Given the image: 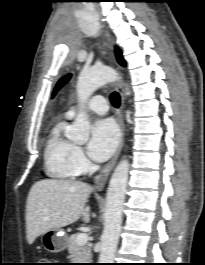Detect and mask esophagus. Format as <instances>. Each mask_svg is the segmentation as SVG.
Listing matches in <instances>:
<instances>
[{
  "label": "esophagus",
  "mask_w": 205,
  "mask_h": 265,
  "mask_svg": "<svg viewBox=\"0 0 205 265\" xmlns=\"http://www.w3.org/2000/svg\"><path fill=\"white\" fill-rule=\"evenodd\" d=\"M106 45L108 49L112 51L113 39L108 31H106ZM116 87L120 94V108L118 110V115H117V120H118L120 131H121L120 143L112 159L102 168L99 174L96 175L95 177V188L98 191H101L104 188L108 180V177L114 165L116 164L118 157L121 153V150L123 148V145H124L125 125H124V117H123V108H124V102H125V95H124L122 84L120 82H117Z\"/></svg>",
  "instance_id": "esophagus-1"
}]
</instances>
